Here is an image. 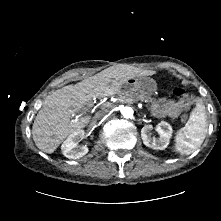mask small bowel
<instances>
[{
  "mask_svg": "<svg viewBox=\"0 0 221 221\" xmlns=\"http://www.w3.org/2000/svg\"><path fill=\"white\" fill-rule=\"evenodd\" d=\"M188 108L189 106L180 100L175 101L162 98L154 104L153 112L157 117L168 116L176 118L182 111L187 110Z\"/></svg>",
  "mask_w": 221,
  "mask_h": 221,
  "instance_id": "c3829d8e",
  "label": "small bowel"
}]
</instances>
